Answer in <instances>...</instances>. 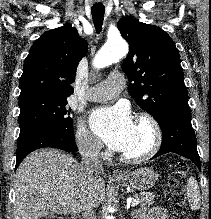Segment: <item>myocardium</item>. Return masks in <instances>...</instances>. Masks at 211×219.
I'll return each mask as SVG.
<instances>
[{"mask_svg": "<svg viewBox=\"0 0 211 219\" xmlns=\"http://www.w3.org/2000/svg\"><path fill=\"white\" fill-rule=\"evenodd\" d=\"M137 123L148 126L151 131V142L150 145L139 154L130 155L121 153V160L129 164H139L149 160L159 151L162 145V129L158 121L152 115L147 113L139 114L137 117Z\"/></svg>", "mask_w": 211, "mask_h": 219, "instance_id": "f54148a6", "label": "myocardium"}]
</instances>
